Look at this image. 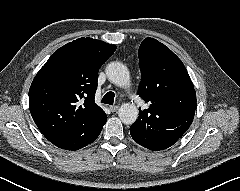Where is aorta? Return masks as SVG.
<instances>
[{
  "mask_svg": "<svg viewBox=\"0 0 240 191\" xmlns=\"http://www.w3.org/2000/svg\"><path fill=\"white\" fill-rule=\"evenodd\" d=\"M108 80L119 86L127 87L130 84V74L128 68L120 62H111L106 67ZM120 120L126 124H133L138 118V109L131 103H124L118 110Z\"/></svg>",
  "mask_w": 240,
  "mask_h": 191,
  "instance_id": "obj_1",
  "label": "aorta"
}]
</instances>
